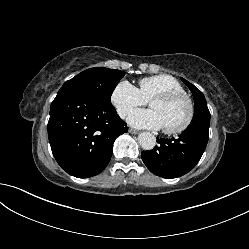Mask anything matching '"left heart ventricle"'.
Listing matches in <instances>:
<instances>
[{"instance_id":"obj_1","label":"left heart ventricle","mask_w":249,"mask_h":249,"mask_svg":"<svg viewBox=\"0 0 249 249\" xmlns=\"http://www.w3.org/2000/svg\"><path fill=\"white\" fill-rule=\"evenodd\" d=\"M160 117L163 127L175 128L180 126L187 117L188 107L183 99L171 102L153 101L149 104Z\"/></svg>"}]
</instances>
